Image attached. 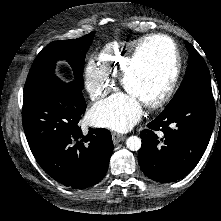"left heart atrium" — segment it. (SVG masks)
I'll return each instance as SVG.
<instances>
[{"instance_id":"obj_1","label":"left heart atrium","mask_w":221,"mask_h":221,"mask_svg":"<svg viewBox=\"0 0 221 221\" xmlns=\"http://www.w3.org/2000/svg\"><path fill=\"white\" fill-rule=\"evenodd\" d=\"M141 115V103L128 93H118L98 103L92 112V117L99 125L120 132L129 130Z\"/></svg>"}]
</instances>
